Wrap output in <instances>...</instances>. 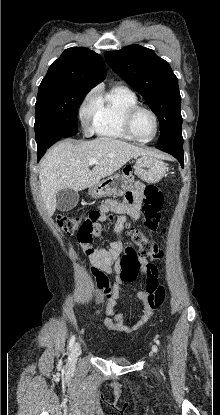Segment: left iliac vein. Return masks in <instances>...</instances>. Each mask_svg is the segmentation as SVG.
Listing matches in <instances>:
<instances>
[{"label":"left iliac vein","mask_w":220,"mask_h":415,"mask_svg":"<svg viewBox=\"0 0 220 415\" xmlns=\"http://www.w3.org/2000/svg\"><path fill=\"white\" fill-rule=\"evenodd\" d=\"M152 351H153L154 353H156V352H157V346H156V345H153V346H152Z\"/></svg>","instance_id":"4c4485c4"}]
</instances>
